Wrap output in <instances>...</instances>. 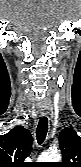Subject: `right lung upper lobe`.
I'll use <instances>...</instances> for the list:
<instances>
[{
  "instance_id": "1",
  "label": "right lung upper lobe",
  "mask_w": 81,
  "mask_h": 167,
  "mask_svg": "<svg viewBox=\"0 0 81 167\" xmlns=\"http://www.w3.org/2000/svg\"><path fill=\"white\" fill-rule=\"evenodd\" d=\"M32 149V135L23 126H16L0 136V167H28L24 162Z\"/></svg>"
}]
</instances>
